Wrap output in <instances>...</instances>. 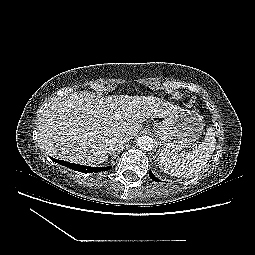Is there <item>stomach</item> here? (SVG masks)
<instances>
[{
	"mask_svg": "<svg viewBox=\"0 0 255 255\" xmlns=\"http://www.w3.org/2000/svg\"><path fill=\"white\" fill-rule=\"evenodd\" d=\"M203 126L202 117L195 111L174 107L163 121L154 124V130L166 150L174 152L193 145Z\"/></svg>",
	"mask_w": 255,
	"mask_h": 255,
	"instance_id": "1",
	"label": "stomach"
}]
</instances>
